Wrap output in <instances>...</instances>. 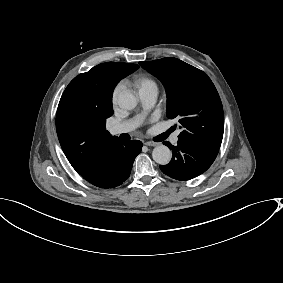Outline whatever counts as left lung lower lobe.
Returning <instances> with one entry per match:
<instances>
[{
	"instance_id": "obj_1",
	"label": "left lung lower lobe",
	"mask_w": 283,
	"mask_h": 283,
	"mask_svg": "<svg viewBox=\"0 0 283 283\" xmlns=\"http://www.w3.org/2000/svg\"><path fill=\"white\" fill-rule=\"evenodd\" d=\"M172 149L173 156L167 165H160L161 171L176 180H190L205 172L214 162L217 149L178 139L177 146L164 142Z\"/></svg>"
}]
</instances>
